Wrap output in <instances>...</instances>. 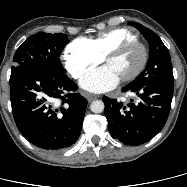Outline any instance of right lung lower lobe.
Masks as SVG:
<instances>
[{"mask_svg":"<svg viewBox=\"0 0 187 187\" xmlns=\"http://www.w3.org/2000/svg\"><path fill=\"white\" fill-rule=\"evenodd\" d=\"M77 85L65 73L32 65L11 69L13 117L22 135L46 150L74 144L81 132L87 100L75 93ZM61 100L55 109L51 103Z\"/></svg>","mask_w":187,"mask_h":187,"instance_id":"obj_1","label":"right lung lower lobe"}]
</instances>
